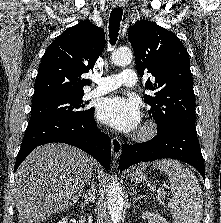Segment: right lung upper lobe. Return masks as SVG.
<instances>
[{
  "label": "right lung upper lobe",
  "mask_w": 221,
  "mask_h": 223,
  "mask_svg": "<svg viewBox=\"0 0 221 223\" xmlns=\"http://www.w3.org/2000/svg\"><path fill=\"white\" fill-rule=\"evenodd\" d=\"M105 47L102 28L82 21L68 28L47 48L35 80L32 103L84 93L88 79L81 76L94 67Z\"/></svg>",
  "instance_id": "cb5924a9"
}]
</instances>
